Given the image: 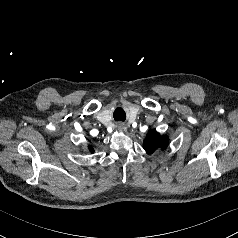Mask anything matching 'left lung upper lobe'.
Instances as JSON below:
<instances>
[{
    "instance_id": "1",
    "label": "left lung upper lobe",
    "mask_w": 238,
    "mask_h": 238,
    "mask_svg": "<svg viewBox=\"0 0 238 238\" xmlns=\"http://www.w3.org/2000/svg\"><path fill=\"white\" fill-rule=\"evenodd\" d=\"M168 144V136H161L153 129L147 134L143 148L148 154H152L159 149H165Z\"/></svg>"
}]
</instances>
